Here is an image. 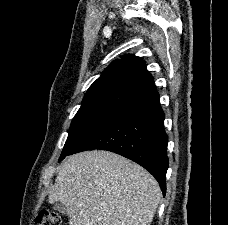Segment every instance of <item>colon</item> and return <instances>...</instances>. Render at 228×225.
Instances as JSON below:
<instances>
[{
	"mask_svg": "<svg viewBox=\"0 0 228 225\" xmlns=\"http://www.w3.org/2000/svg\"><path fill=\"white\" fill-rule=\"evenodd\" d=\"M37 225H63L59 214L52 209L43 208L36 217Z\"/></svg>",
	"mask_w": 228,
	"mask_h": 225,
	"instance_id": "5ec220e1",
	"label": "colon"
}]
</instances>
